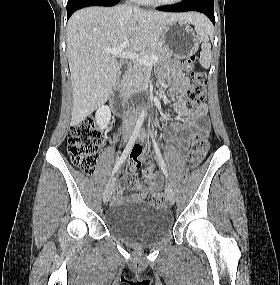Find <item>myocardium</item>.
Returning <instances> with one entry per match:
<instances>
[{
    "label": "myocardium",
    "instance_id": "f54148a6",
    "mask_svg": "<svg viewBox=\"0 0 280 285\" xmlns=\"http://www.w3.org/2000/svg\"><path fill=\"white\" fill-rule=\"evenodd\" d=\"M158 6H171L179 3L181 0H148Z\"/></svg>",
    "mask_w": 280,
    "mask_h": 285
}]
</instances>
